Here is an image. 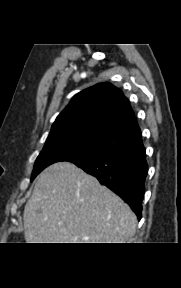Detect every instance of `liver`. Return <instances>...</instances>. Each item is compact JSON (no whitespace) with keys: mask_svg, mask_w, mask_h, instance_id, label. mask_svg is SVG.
<instances>
[{"mask_svg":"<svg viewBox=\"0 0 181 288\" xmlns=\"http://www.w3.org/2000/svg\"><path fill=\"white\" fill-rule=\"evenodd\" d=\"M23 221L27 243H126L137 224L121 198L70 162L38 176Z\"/></svg>","mask_w":181,"mask_h":288,"instance_id":"6515ba94","label":"liver"}]
</instances>
